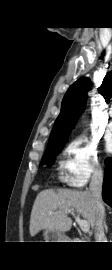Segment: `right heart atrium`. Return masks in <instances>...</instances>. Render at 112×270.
Returning a JSON list of instances; mask_svg holds the SVG:
<instances>
[{"instance_id":"d8ad5b80","label":"right heart atrium","mask_w":112,"mask_h":270,"mask_svg":"<svg viewBox=\"0 0 112 270\" xmlns=\"http://www.w3.org/2000/svg\"><path fill=\"white\" fill-rule=\"evenodd\" d=\"M60 168L64 182L76 188L103 172L97 146L84 138H75L64 147Z\"/></svg>"}]
</instances>
